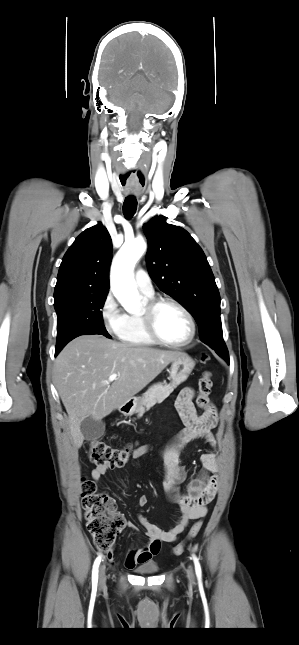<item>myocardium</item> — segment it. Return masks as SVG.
<instances>
[{
	"label": "myocardium",
	"instance_id": "f54148a6",
	"mask_svg": "<svg viewBox=\"0 0 299 645\" xmlns=\"http://www.w3.org/2000/svg\"><path fill=\"white\" fill-rule=\"evenodd\" d=\"M163 305H173L184 313L190 325V333L188 337L179 342L168 341L160 336L156 328V315L160 307ZM142 322L147 334L158 344L168 347H182L192 342L196 334V322L189 311L181 302L170 297L153 298L146 301L143 309L140 312Z\"/></svg>",
	"mask_w": 299,
	"mask_h": 645
}]
</instances>
